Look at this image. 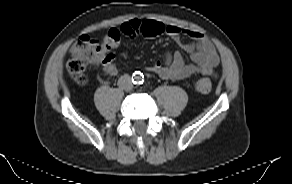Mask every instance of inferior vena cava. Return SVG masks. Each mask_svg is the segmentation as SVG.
I'll use <instances>...</instances> for the list:
<instances>
[{
	"instance_id": "1",
	"label": "inferior vena cava",
	"mask_w": 292,
	"mask_h": 184,
	"mask_svg": "<svg viewBox=\"0 0 292 184\" xmlns=\"http://www.w3.org/2000/svg\"><path fill=\"white\" fill-rule=\"evenodd\" d=\"M118 86L126 91L132 90L133 83L131 81V77L127 74L121 76L118 80Z\"/></svg>"
}]
</instances>
